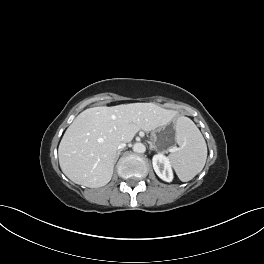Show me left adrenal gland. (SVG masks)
<instances>
[{
    "mask_svg": "<svg viewBox=\"0 0 264 264\" xmlns=\"http://www.w3.org/2000/svg\"><path fill=\"white\" fill-rule=\"evenodd\" d=\"M149 144H150V147H149V149L152 151V150H155V151H157V148H156V146L152 143V142H149Z\"/></svg>",
    "mask_w": 264,
    "mask_h": 264,
    "instance_id": "1",
    "label": "left adrenal gland"
}]
</instances>
